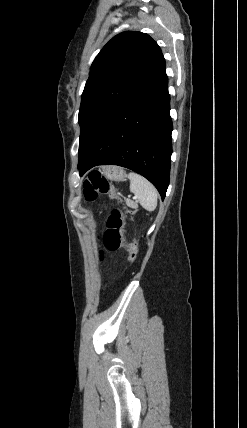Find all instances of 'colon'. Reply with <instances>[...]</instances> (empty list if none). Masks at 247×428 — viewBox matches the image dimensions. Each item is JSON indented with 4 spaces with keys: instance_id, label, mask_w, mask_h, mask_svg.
Here are the masks:
<instances>
[{
    "instance_id": "colon-1",
    "label": "colon",
    "mask_w": 247,
    "mask_h": 428,
    "mask_svg": "<svg viewBox=\"0 0 247 428\" xmlns=\"http://www.w3.org/2000/svg\"><path fill=\"white\" fill-rule=\"evenodd\" d=\"M83 187L87 201L91 202L99 196L106 195L109 200L119 202L118 193L114 185L99 173H90L85 179ZM128 221V211L119 207L114 208L107 220L103 243L105 248L111 252L125 250L133 262L138 257L139 249L134 242L126 238ZM100 259H103V253H100Z\"/></svg>"
}]
</instances>
